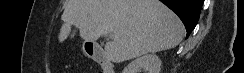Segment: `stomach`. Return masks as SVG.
<instances>
[{"label": "stomach", "mask_w": 244, "mask_h": 73, "mask_svg": "<svg viewBox=\"0 0 244 73\" xmlns=\"http://www.w3.org/2000/svg\"><path fill=\"white\" fill-rule=\"evenodd\" d=\"M83 49L86 51V43L83 44Z\"/></svg>", "instance_id": "obj_1"}]
</instances>
